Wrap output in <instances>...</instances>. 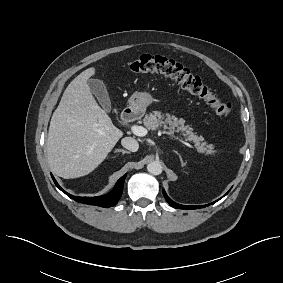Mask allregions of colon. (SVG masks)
I'll return each instance as SVG.
<instances>
[{
	"mask_svg": "<svg viewBox=\"0 0 283 283\" xmlns=\"http://www.w3.org/2000/svg\"><path fill=\"white\" fill-rule=\"evenodd\" d=\"M134 73H157L169 77L180 87L202 99L217 115L226 117L231 113L232 105L220 98L199 76L190 72L182 64L165 57L143 55L130 64Z\"/></svg>",
	"mask_w": 283,
	"mask_h": 283,
	"instance_id": "5ec220e1",
	"label": "colon"
}]
</instances>
